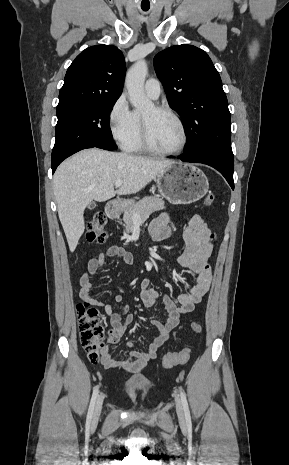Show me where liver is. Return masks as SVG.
Returning a JSON list of instances; mask_svg holds the SVG:
<instances>
[{"label": "liver", "mask_w": 289, "mask_h": 465, "mask_svg": "<svg viewBox=\"0 0 289 465\" xmlns=\"http://www.w3.org/2000/svg\"><path fill=\"white\" fill-rule=\"evenodd\" d=\"M174 163L97 148L85 149L62 162L53 185L70 251H75L84 233V210L92 200L104 202L116 194L137 193ZM118 180L123 183L114 190Z\"/></svg>", "instance_id": "1"}]
</instances>
